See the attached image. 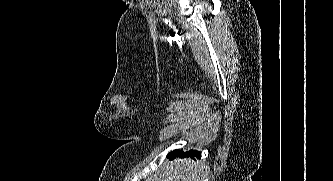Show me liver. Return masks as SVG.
I'll return each mask as SVG.
<instances>
[{
  "label": "liver",
  "instance_id": "liver-1",
  "mask_svg": "<svg viewBox=\"0 0 333 181\" xmlns=\"http://www.w3.org/2000/svg\"><path fill=\"white\" fill-rule=\"evenodd\" d=\"M172 168V169H171ZM170 174L172 181H202L204 165L190 158L179 159L171 163Z\"/></svg>",
  "mask_w": 333,
  "mask_h": 181
}]
</instances>
